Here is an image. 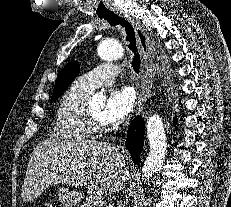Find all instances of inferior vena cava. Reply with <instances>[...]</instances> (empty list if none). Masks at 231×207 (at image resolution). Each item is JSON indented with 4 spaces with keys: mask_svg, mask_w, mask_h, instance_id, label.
Returning <instances> with one entry per match:
<instances>
[{
    "mask_svg": "<svg viewBox=\"0 0 231 207\" xmlns=\"http://www.w3.org/2000/svg\"><path fill=\"white\" fill-rule=\"evenodd\" d=\"M120 158H121L122 164H125L124 156H121ZM118 207H122V202L119 203Z\"/></svg>",
    "mask_w": 231,
    "mask_h": 207,
    "instance_id": "1",
    "label": "inferior vena cava"
}]
</instances>
